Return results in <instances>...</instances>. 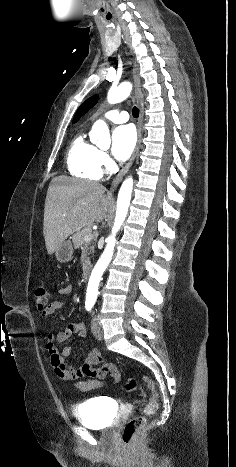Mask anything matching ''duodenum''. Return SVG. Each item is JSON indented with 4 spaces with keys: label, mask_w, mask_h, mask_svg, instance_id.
I'll list each match as a JSON object with an SVG mask.
<instances>
[{
    "label": "duodenum",
    "mask_w": 236,
    "mask_h": 467,
    "mask_svg": "<svg viewBox=\"0 0 236 467\" xmlns=\"http://www.w3.org/2000/svg\"><path fill=\"white\" fill-rule=\"evenodd\" d=\"M90 272H91V267L89 265L85 266L82 271V276H81L82 281L86 282L88 280Z\"/></svg>",
    "instance_id": "410a0bca"
}]
</instances>
